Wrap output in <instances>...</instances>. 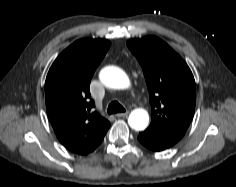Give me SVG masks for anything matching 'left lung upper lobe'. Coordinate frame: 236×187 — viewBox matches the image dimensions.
Here are the masks:
<instances>
[{
	"mask_svg": "<svg viewBox=\"0 0 236 187\" xmlns=\"http://www.w3.org/2000/svg\"><path fill=\"white\" fill-rule=\"evenodd\" d=\"M142 66L149 90L152 120L143 132L177 143L195 110L193 74L184 60L164 41L147 36L127 41Z\"/></svg>",
	"mask_w": 236,
	"mask_h": 187,
	"instance_id": "obj_1",
	"label": "left lung upper lobe"
}]
</instances>
